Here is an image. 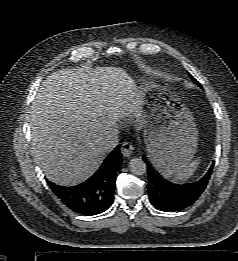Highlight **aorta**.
Wrapping results in <instances>:
<instances>
[{
	"label": "aorta",
	"instance_id": "762f6f07",
	"mask_svg": "<svg viewBox=\"0 0 238 261\" xmlns=\"http://www.w3.org/2000/svg\"><path fill=\"white\" fill-rule=\"evenodd\" d=\"M129 169L131 173L137 176L144 175L146 173V164L140 158H133L129 161Z\"/></svg>",
	"mask_w": 238,
	"mask_h": 261
}]
</instances>
